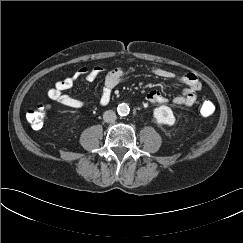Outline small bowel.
Returning <instances> with one entry per match:
<instances>
[{
    "mask_svg": "<svg viewBox=\"0 0 243 243\" xmlns=\"http://www.w3.org/2000/svg\"><path fill=\"white\" fill-rule=\"evenodd\" d=\"M104 73V69L100 66H96L92 69L86 67L80 68L72 76L59 80L55 85L49 89L48 96L51 100L61 104L64 107L70 109H80L88 104L87 101L73 98L64 92L70 89L74 83L83 78L88 82L95 81L101 74ZM152 73L162 79H172L175 74L172 71L155 68ZM129 74V71L122 67L114 68L106 73L104 78V84L102 93L100 96V104L105 106L109 103L113 89L119 85ZM181 81L186 85V88L180 95L173 98L172 103L176 106H191L197 100V93L201 90L202 85L198 77L193 73H186L182 76ZM146 99L152 104H166L168 99L158 90L150 91Z\"/></svg>",
    "mask_w": 243,
    "mask_h": 243,
    "instance_id": "1",
    "label": "small bowel"
}]
</instances>
